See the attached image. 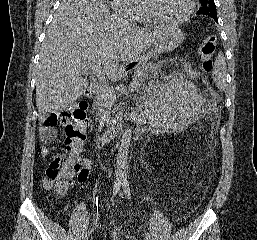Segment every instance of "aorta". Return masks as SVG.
Segmentation results:
<instances>
[{"label": "aorta", "instance_id": "aorta-1", "mask_svg": "<svg viewBox=\"0 0 257 240\" xmlns=\"http://www.w3.org/2000/svg\"><path fill=\"white\" fill-rule=\"evenodd\" d=\"M132 137V128L127 127L120 143L118 155H117V171L116 177L120 181H125L127 179V170H128V153L129 146Z\"/></svg>", "mask_w": 257, "mask_h": 240}]
</instances>
